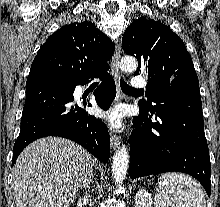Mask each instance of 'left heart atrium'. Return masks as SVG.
Instances as JSON below:
<instances>
[{"instance_id":"39dd6f15","label":"left heart atrium","mask_w":220,"mask_h":207,"mask_svg":"<svg viewBox=\"0 0 220 207\" xmlns=\"http://www.w3.org/2000/svg\"><path fill=\"white\" fill-rule=\"evenodd\" d=\"M103 118L113 127L119 128L122 121V113L118 109H113L109 112L103 113Z\"/></svg>"}]
</instances>
